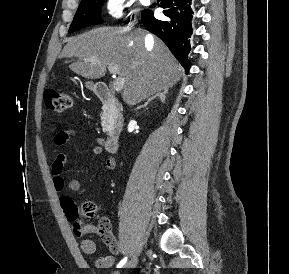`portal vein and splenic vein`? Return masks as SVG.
<instances>
[{"mask_svg":"<svg viewBox=\"0 0 289 274\" xmlns=\"http://www.w3.org/2000/svg\"><path fill=\"white\" fill-rule=\"evenodd\" d=\"M108 70L110 74H113V75H117L119 73V68L111 64L108 65ZM124 84H125V78L118 76L114 80L113 87L116 91H121L124 87Z\"/></svg>","mask_w":289,"mask_h":274,"instance_id":"obj_1","label":"portal vein and splenic vein"}]
</instances>
